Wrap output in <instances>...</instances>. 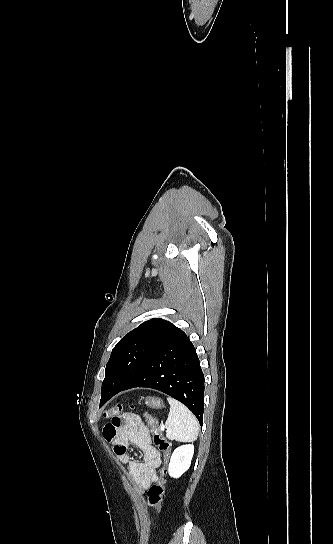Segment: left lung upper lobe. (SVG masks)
<instances>
[{"label": "left lung upper lobe", "instance_id": "5c2ea615", "mask_svg": "<svg viewBox=\"0 0 333 544\" xmlns=\"http://www.w3.org/2000/svg\"><path fill=\"white\" fill-rule=\"evenodd\" d=\"M179 331L172 323L154 318L127 333L111 352L101 392L124 387Z\"/></svg>", "mask_w": 333, "mask_h": 544}]
</instances>
